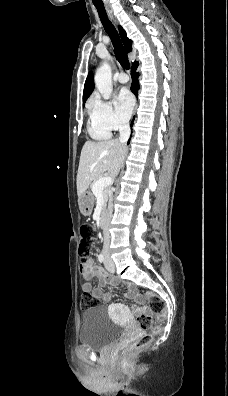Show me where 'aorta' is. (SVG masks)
I'll return each mask as SVG.
<instances>
[{"instance_id": "762f6f07", "label": "aorta", "mask_w": 228, "mask_h": 396, "mask_svg": "<svg viewBox=\"0 0 228 396\" xmlns=\"http://www.w3.org/2000/svg\"><path fill=\"white\" fill-rule=\"evenodd\" d=\"M95 85L104 99H109L112 91V72L107 62H103L95 73Z\"/></svg>"}]
</instances>
